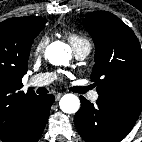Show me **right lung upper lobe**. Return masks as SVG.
<instances>
[{
  "mask_svg": "<svg viewBox=\"0 0 142 142\" xmlns=\"http://www.w3.org/2000/svg\"><path fill=\"white\" fill-rule=\"evenodd\" d=\"M42 17H15L0 23V139L12 136L22 123L34 91L24 93L22 77L27 72L31 44L44 28Z\"/></svg>",
  "mask_w": 142,
  "mask_h": 142,
  "instance_id": "right-lung-upper-lobe-1",
  "label": "right lung upper lobe"
}]
</instances>
